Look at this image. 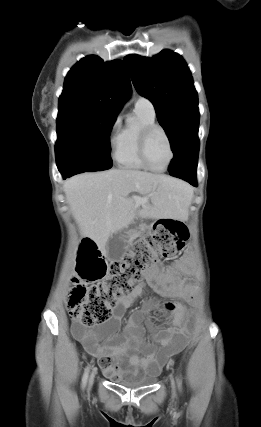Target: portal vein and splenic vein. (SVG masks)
Returning a JSON list of instances; mask_svg holds the SVG:
<instances>
[{"mask_svg": "<svg viewBox=\"0 0 261 427\" xmlns=\"http://www.w3.org/2000/svg\"><path fill=\"white\" fill-rule=\"evenodd\" d=\"M134 200L137 202V203H145V202H147V198H141V197H139V196H134Z\"/></svg>", "mask_w": 261, "mask_h": 427, "instance_id": "18ae733b", "label": "portal vein and splenic vein"}]
</instances>
